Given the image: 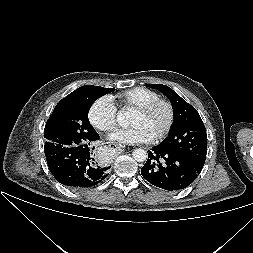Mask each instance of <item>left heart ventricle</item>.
Returning a JSON list of instances; mask_svg holds the SVG:
<instances>
[{"label":"left heart ventricle","instance_id":"obj_1","mask_svg":"<svg viewBox=\"0 0 253 253\" xmlns=\"http://www.w3.org/2000/svg\"><path fill=\"white\" fill-rule=\"evenodd\" d=\"M168 121V111L164 106H158L149 113L142 114L134 111L131 124L144 126L154 137L165 127Z\"/></svg>","mask_w":253,"mask_h":253}]
</instances>
